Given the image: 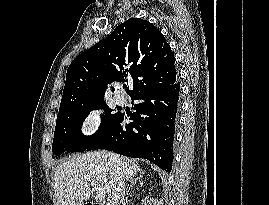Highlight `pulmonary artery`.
Returning <instances> with one entry per match:
<instances>
[{
	"mask_svg": "<svg viewBox=\"0 0 269 205\" xmlns=\"http://www.w3.org/2000/svg\"><path fill=\"white\" fill-rule=\"evenodd\" d=\"M114 99H115V102L119 105H123L126 102V96L123 93H117Z\"/></svg>",
	"mask_w": 269,
	"mask_h": 205,
	"instance_id": "1",
	"label": "pulmonary artery"
}]
</instances>
